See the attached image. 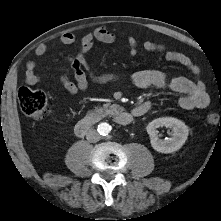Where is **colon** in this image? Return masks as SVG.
Returning a JSON list of instances; mask_svg holds the SVG:
<instances>
[{"mask_svg": "<svg viewBox=\"0 0 221 221\" xmlns=\"http://www.w3.org/2000/svg\"><path fill=\"white\" fill-rule=\"evenodd\" d=\"M18 103L21 111L34 120L45 119L50 112V105L46 95L39 90H32L22 87L18 92ZM206 122L210 126L221 124V115L217 112H210L206 116Z\"/></svg>", "mask_w": 221, "mask_h": 221, "instance_id": "1", "label": "colon"}]
</instances>
